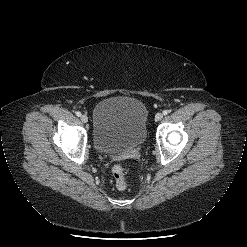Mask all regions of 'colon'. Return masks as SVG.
Returning a JSON list of instances; mask_svg holds the SVG:
<instances>
[{"mask_svg":"<svg viewBox=\"0 0 247 247\" xmlns=\"http://www.w3.org/2000/svg\"><path fill=\"white\" fill-rule=\"evenodd\" d=\"M117 189L125 190L127 188V181L125 177L124 168L120 165H115L112 169Z\"/></svg>","mask_w":247,"mask_h":247,"instance_id":"colon-1","label":"colon"}]
</instances>
